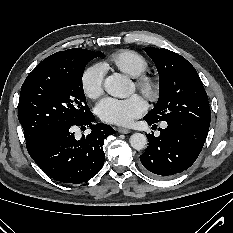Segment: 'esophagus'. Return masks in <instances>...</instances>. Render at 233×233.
<instances>
[{
    "mask_svg": "<svg viewBox=\"0 0 233 233\" xmlns=\"http://www.w3.org/2000/svg\"><path fill=\"white\" fill-rule=\"evenodd\" d=\"M117 131H118L119 133H121V134H128V133H130V130H129V129H127V128H122V127H119V128L117 129Z\"/></svg>",
    "mask_w": 233,
    "mask_h": 233,
    "instance_id": "obj_1",
    "label": "esophagus"
}]
</instances>
